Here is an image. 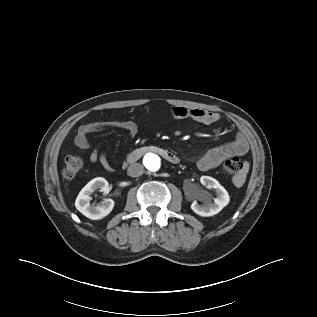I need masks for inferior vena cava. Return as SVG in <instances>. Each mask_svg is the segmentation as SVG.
Returning <instances> with one entry per match:
<instances>
[{"instance_id":"inferior-vena-cava-1","label":"inferior vena cava","mask_w":317,"mask_h":317,"mask_svg":"<svg viewBox=\"0 0 317 317\" xmlns=\"http://www.w3.org/2000/svg\"><path fill=\"white\" fill-rule=\"evenodd\" d=\"M144 172V167L140 163H133L128 166L127 174L131 177L141 176Z\"/></svg>"}]
</instances>
